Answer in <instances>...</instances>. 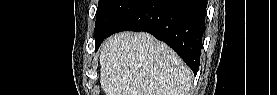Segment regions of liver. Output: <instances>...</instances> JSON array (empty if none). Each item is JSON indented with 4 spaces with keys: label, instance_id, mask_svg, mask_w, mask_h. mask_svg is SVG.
<instances>
[{
    "label": "liver",
    "instance_id": "6515ba94",
    "mask_svg": "<svg viewBox=\"0 0 277 95\" xmlns=\"http://www.w3.org/2000/svg\"><path fill=\"white\" fill-rule=\"evenodd\" d=\"M99 62L105 95H190V68L149 33L111 36L101 47Z\"/></svg>",
    "mask_w": 277,
    "mask_h": 95
}]
</instances>
